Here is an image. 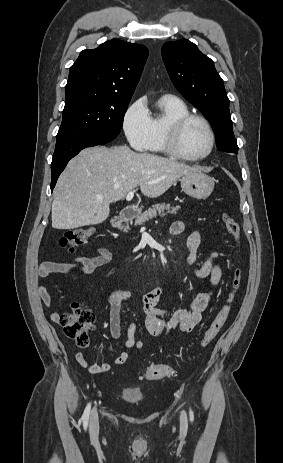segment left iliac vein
<instances>
[{
  "label": "left iliac vein",
  "mask_w": 283,
  "mask_h": 463,
  "mask_svg": "<svg viewBox=\"0 0 283 463\" xmlns=\"http://www.w3.org/2000/svg\"><path fill=\"white\" fill-rule=\"evenodd\" d=\"M181 427L183 429H186V427H187V417H186L185 411L181 412Z\"/></svg>",
  "instance_id": "1"
}]
</instances>
